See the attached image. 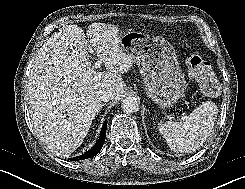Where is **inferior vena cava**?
I'll return each instance as SVG.
<instances>
[{"instance_id": "inferior-vena-cava-1", "label": "inferior vena cava", "mask_w": 245, "mask_h": 189, "mask_svg": "<svg viewBox=\"0 0 245 189\" xmlns=\"http://www.w3.org/2000/svg\"><path fill=\"white\" fill-rule=\"evenodd\" d=\"M114 92L111 89H107L102 92L100 99L104 102H107L109 100H112L114 98Z\"/></svg>"}]
</instances>
